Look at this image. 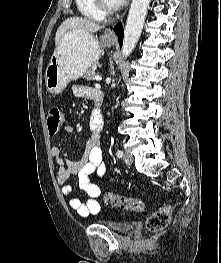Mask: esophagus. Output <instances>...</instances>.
<instances>
[{
  "label": "esophagus",
  "mask_w": 221,
  "mask_h": 263,
  "mask_svg": "<svg viewBox=\"0 0 221 263\" xmlns=\"http://www.w3.org/2000/svg\"><path fill=\"white\" fill-rule=\"evenodd\" d=\"M106 36H108V37H110V38H116L115 33H114L113 31H111V30H108V31L106 32Z\"/></svg>",
  "instance_id": "obj_1"
}]
</instances>
